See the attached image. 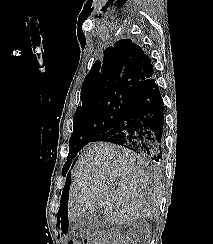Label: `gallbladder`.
I'll use <instances>...</instances> for the list:
<instances>
[{
    "mask_svg": "<svg viewBox=\"0 0 213 244\" xmlns=\"http://www.w3.org/2000/svg\"><path fill=\"white\" fill-rule=\"evenodd\" d=\"M108 223L102 214L97 209L92 212H87L85 215L76 219L71 223V230L79 237H84L92 233H98L107 227Z\"/></svg>",
    "mask_w": 213,
    "mask_h": 244,
    "instance_id": "gallbladder-1",
    "label": "gallbladder"
}]
</instances>
